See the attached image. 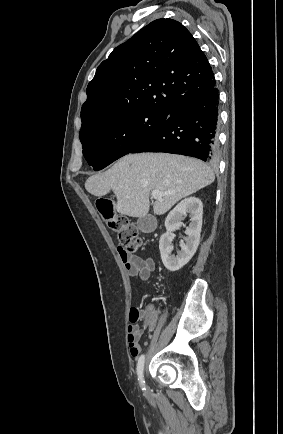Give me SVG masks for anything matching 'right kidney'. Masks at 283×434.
Masks as SVG:
<instances>
[{"instance_id":"1","label":"right kidney","mask_w":283,"mask_h":434,"mask_svg":"<svg viewBox=\"0 0 283 434\" xmlns=\"http://www.w3.org/2000/svg\"><path fill=\"white\" fill-rule=\"evenodd\" d=\"M189 214L190 223L186 227L185 242H180L181 250L177 255H172L174 231L182 225V220ZM203 205L200 199L190 197L182 200L167 216L165 220L166 233L163 234L159 241L161 259L164 266L169 271H178L186 265L195 254L199 242L202 227Z\"/></svg>"}]
</instances>
